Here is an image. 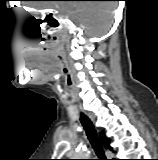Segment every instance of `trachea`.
Masks as SVG:
<instances>
[{
	"mask_svg": "<svg viewBox=\"0 0 158 160\" xmlns=\"http://www.w3.org/2000/svg\"><path fill=\"white\" fill-rule=\"evenodd\" d=\"M80 120L96 155L99 157L97 160H107L103 151V146L97 137L96 130L91 120L84 114H81Z\"/></svg>",
	"mask_w": 158,
	"mask_h": 160,
	"instance_id": "trachea-1",
	"label": "trachea"
}]
</instances>
